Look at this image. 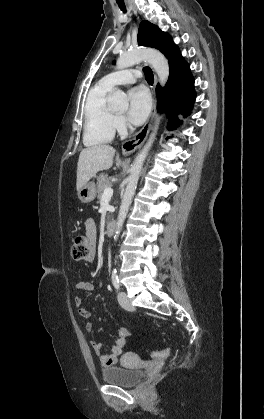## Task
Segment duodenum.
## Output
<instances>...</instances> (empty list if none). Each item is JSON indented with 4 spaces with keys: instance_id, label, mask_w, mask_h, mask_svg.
Returning a JSON list of instances; mask_svg holds the SVG:
<instances>
[{
    "instance_id": "obj_1",
    "label": "duodenum",
    "mask_w": 264,
    "mask_h": 419,
    "mask_svg": "<svg viewBox=\"0 0 264 419\" xmlns=\"http://www.w3.org/2000/svg\"><path fill=\"white\" fill-rule=\"evenodd\" d=\"M116 228V222L114 220L108 221L105 226V234L107 236H111Z\"/></svg>"
}]
</instances>
